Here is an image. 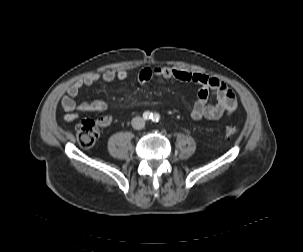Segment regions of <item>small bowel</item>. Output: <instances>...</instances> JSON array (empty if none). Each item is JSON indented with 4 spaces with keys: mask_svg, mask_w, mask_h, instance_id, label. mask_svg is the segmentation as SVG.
<instances>
[{
    "mask_svg": "<svg viewBox=\"0 0 303 252\" xmlns=\"http://www.w3.org/2000/svg\"><path fill=\"white\" fill-rule=\"evenodd\" d=\"M130 71L128 69L107 70L103 73H90L69 86L61 99V107L64 111V120L72 122L80 113L103 112L107 109L104 100L92 102H76L85 87H92L99 81L112 82L125 80ZM153 76L164 79H174L180 82H191L200 86L193 104L189 107V115L193 120L214 121L222 116L231 115L237 108L238 102L235 93L220 79L200 73L186 72L169 66L145 67L138 71L137 81L140 84L147 83ZM210 97L213 102H210ZM111 116H103L98 119L101 127L111 124Z\"/></svg>",
    "mask_w": 303,
    "mask_h": 252,
    "instance_id": "small-bowel-1",
    "label": "small bowel"
}]
</instances>
